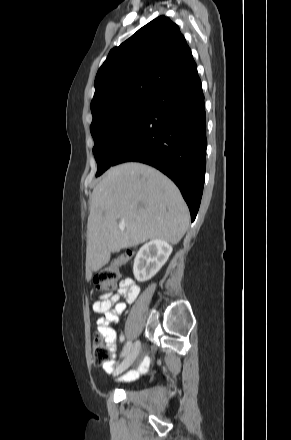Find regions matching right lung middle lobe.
Here are the masks:
<instances>
[{
  "mask_svg": "<svg viewBox=\"0 0 291 440\" xmlns=\"http://www.w3.org/2000/svg\"><path fill=\"white\" fill-rule=\"evenodd\" d=\"M154 102L153 96H139L106 103L91 110L90 131L97 162L96 177L110 166L127 140L143 123Z\"/></svg>",
  "mask_w": 291,
  "mask_h": 440,
  "instance_id": "dd1d6c3e",
  "label": "right lung middle lobe"
}]
</instances>
